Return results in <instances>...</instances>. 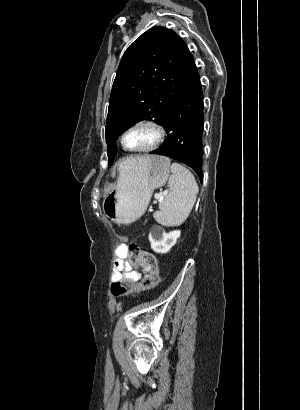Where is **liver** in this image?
Segmentation results:
<instances>
[{
    "mask_svg": "<svg viewBox=\"0 0 300 410\" xmlns=\"http://www.w3.org/2000/svg\"><path fill=\"white\" fill-rule=\"evenodd\" d=\"M147 156H131L127 158L124 163L126 167H133L140 163L141 161L145 160Z\"/></svg>",
    "mask_w": 300,
    "mask_h": 410,
    "instance_id": "liver-1",
    "label": "liver"
}]
</instances>
